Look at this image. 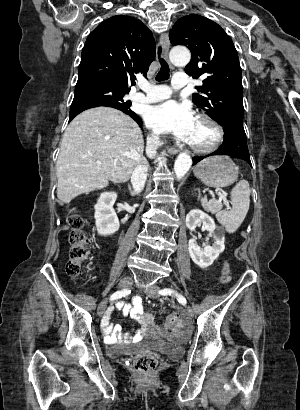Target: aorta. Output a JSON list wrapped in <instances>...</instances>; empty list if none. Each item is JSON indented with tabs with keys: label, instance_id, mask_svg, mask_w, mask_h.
<instances>
[{
	"label": "aorta",
	"instance_id": "762f6f07",
	"mask_svg": "<svg viewBox=\"0 0 300 410\" xmlns=\"http://www.w3.org/2000/svg\"><path fill=\"white\" fill-rule=\"evenodd\" d=\"M170 60L175 65H186L189 63L191 54L185 47H174L170 51ZM192 165V159L187 153H180L174 163V172L177 179L185 176Z\"/></svg>",
	"mask_w": 300,
	"mask_h": 410
}]
</instances>
